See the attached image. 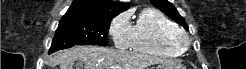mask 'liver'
<instances>
[{
	"instance_id": "liver-1",
	"label": "liver",
	"mask_w": 246,
	"mask_h": 69,
	"mask_svg": "<svg viewBox=\"0 0 246 69\" xmlns=\"http://www.w3.org/2000/svg\"><path fill=\"white\" fill-rule=\"evenodd\" d=\"M60 69H73L75 61L77 69H145L151 64L169 63L166 60L149 55L136 54L124 50L98 46H79L65 50L54 57Z\"/></svg>"
}]
</instances>
